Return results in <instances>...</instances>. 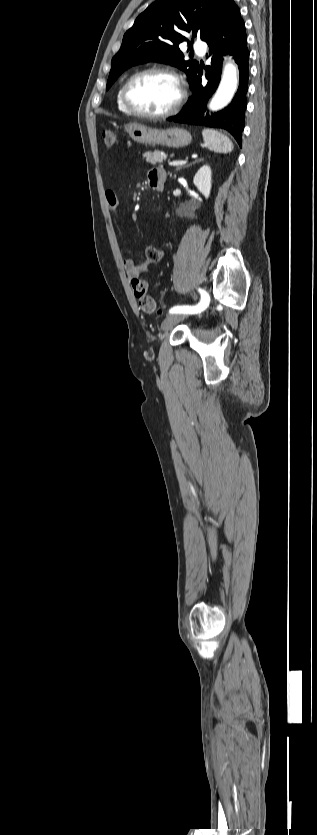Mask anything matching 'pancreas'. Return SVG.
Wrapping results in <instances>:
<instances>
[{
  "mask_svg": "<svg viewBox=\"0 0 317 835\" xmlns=\"http://www.w3.org/2000/svg\"><path fill=\"white\" fill-rule=\"evenodd\" d=\"M142 157L146 158V162L153 165L161 164L165 159L158 150L145 152Z\"/></svg>",
  "mask_w": 317,
  "mask_h": 835,
  "instance_id": "cf45deb5",
  "label": "pancreas"
}]
</instances>
